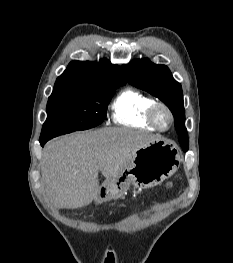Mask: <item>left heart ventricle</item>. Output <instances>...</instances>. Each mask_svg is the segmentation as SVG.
Listing matches in <instances>:
<instances>
[{
    "instance_id": "left-heart-ventricle-1",
    "label": "left heart ventricle",
    "mask_w": 233,
    "mask_h": 263,
    "mask_svg": "<svg viewBox=\"0 0 233 263\" xmlns=\"http://www.w3.org/2000/svg\"><path fill=\"white\" fill-rule=\"evenodd\" d=\"M158 121H159L160 125L163 126V127L168 125L169 117H168V115L166 114L165 111L159 110V112H158Z\"/></svg>"
}]
</instances>
